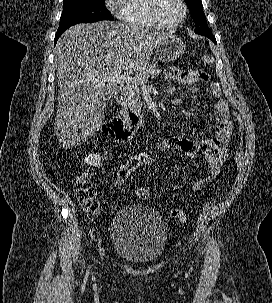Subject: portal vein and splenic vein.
Here are the masks:
<instances>
[{
  "label": "portal vein and splenic vein",
  "mask_w": 272,
  "mask_h": 303,
  "mask_svg": "<svg viewBox=\"0 0 272 303\" xmlns=\"http://www.w3.org/2000/svg\"><path fill=\"white\" fill-rule=\"evenodd\" d=\"M96 81L98 83L109 82V83H119V84L120 83L131 84V83H136L137 80L126 74L113 73L104 77L103 79ZM144 84L145 83L143 81L140 82V85H144Z\"/></svg>",
  "instance_id": "portal-vein-and-splenic-vein-1"
}]
</instances>
